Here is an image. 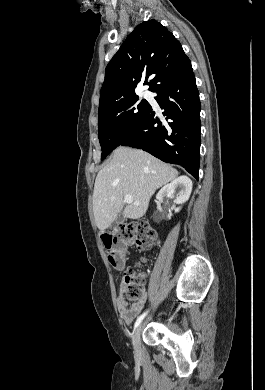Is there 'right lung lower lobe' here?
Segmentation results:
<instances>
[{
  "label": "right lung lower lobe",
  "mask_w": 265,
  "mask_h": 390,
  "mask_svg": "<svg viewBox=\"0 0 265 390\" xmlns=\"http://www.w3.org/2000/svg\"><path fill=\"white\" fill-rule=\"evenodd\" d=\"M164 118L150 106L144 119L120 143L139 148L167 163L183 166L199 177L200 100L191 62L154 91Z\"/></svg>",
  "instance_id": "obj_1"
}]
</instances>
